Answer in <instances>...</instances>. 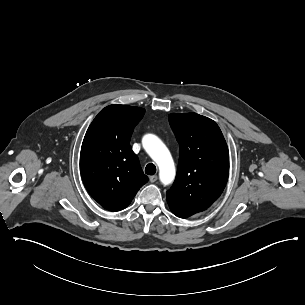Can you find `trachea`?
Returning <instances> with one entry per match:
<instances>
[{"label":"trachea","mask_w":305,"mask_h":305,"mask_svg":"<svg viewBox=\"0 0 305 305\" xmlns=\"http://www.w3.org/2000/svg\"><path fill=\"white\" fill-rule=\"evenodd\" d=\"M145 173L147 175H154L156 173V166L153 163H149L145 167Z\"/></svg>","instance_id":"1"}]
</instances>
